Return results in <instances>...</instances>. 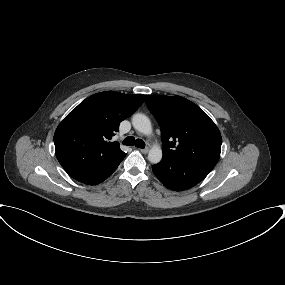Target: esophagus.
Instances as JSON below:
<instances>
[{"label": "esophagus", "mask_w": 285, "mask_h": 285, "mask_svg": "<svg viewBox=\"0 0 285 285\" xmlns=\"http://www.w3.org/2000/svg\"><path fill=\"white\" fill-rule=\"evenodd\" d=\"M140 151H141L143 154H146V153H148L149 148L140 149Z\"/></svg>", "instance_id": "obj_1"}]
</instances>
